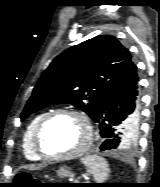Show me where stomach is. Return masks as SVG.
Wrapping results in <instances>:
<instances>
[{"label":"stomach","mask_w":160,"mask_h":187,"mask_svg":"<svg viewBox=\"0 0 160 187\" xmlns=\"http://www.w3.org/2000/svg\"><path fill=\"white\" fill-rule=\"evenodd\" d=\"M71 171L68 167H62L58 170V175L60 177H68V176H71Z\"/></svg>","instance_id":"0dacf381"}]
</instances>
